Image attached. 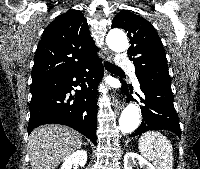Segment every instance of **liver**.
Returning a JSON list of instances; mask_svg holds the SVG:
<instances>
[{
  "label": "liver",
  "instance_id": "1",
  "mask_svg": "<svg viewBox=\"0 0 200 169\" xmlns=\"http://www.w3.org/2000/svg\"><path fill=\"white\" fill-rule=\"evenodd\" d=\"M28 145L32 169H56L82 141L81 135L67 126L47 124L31 132Z\"/></svg>",
  "mask_w": 200,
  "mask_h": 169
}]
</instances>
